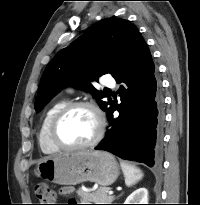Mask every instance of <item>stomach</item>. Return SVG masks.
<instances>
[{
  "mask_svg": "<svg viewBox=\"0 0 200 205\" xmlns=\"http://www.w3.org/2000/svg\"><path fill=\"white\" fill-rule=\"evenodd\" d=\"M37 171L47 181L60 185L91 181L109 186L119 175V165L108 152L77 151L45 158L37 164Z\"/></svg>",
  "mask_w": 200,
  "mask_h": 205,
  "instance_id": "obj_1",
  "label": "stomach"
}]
</instances>
